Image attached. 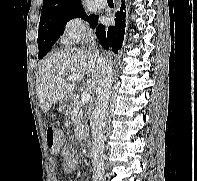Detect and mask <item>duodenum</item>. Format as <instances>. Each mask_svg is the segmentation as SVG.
<instances>
[{"label":"duodenum","mask_w":197,"mask_h":181,"mask_svg":"<svg viewBox=\"0 0 197 181\" xmlns=\"http://www.w3.org/2000/svg\"><path fill=\"white\" fill-rule=\"evenodd\" d=\"M87 154H88L89 156H91V149H90V148L87 149Z\"/></svg>","instance_id":"obj_1"}]
</instances>
